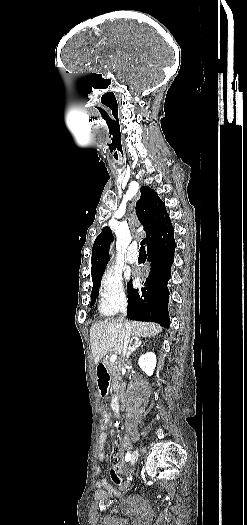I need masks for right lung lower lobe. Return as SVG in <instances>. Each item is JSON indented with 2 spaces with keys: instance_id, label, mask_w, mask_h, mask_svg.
<instances>
[{
  "instance_id": "right-lung-lower-lobe-1",
  "label": "right lung lower lobe",
  "mask_w": 247,
  "mask_h": 525,
  "mask_svg": "<svg viewBox=\"0 0 247 525\" xmlns=\"http://www.w3.org/2000/svg\"><path fill=\"white\" fill-rule=\"evenodd\" d=\"M174 228L171 223L147 240V255L151 270L145 287L140 291L128 284V318L157 322L168 327L169 291L167 282L171 277V265L175 251Z\"/></svg>"
}]
</instances>
